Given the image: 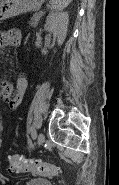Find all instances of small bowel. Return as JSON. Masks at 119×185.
Listing matches in <instances>:
<instances>
[{"instance_id": "1", "label": "small bowel", "mask_w": 119, "mask_h": 185, "mask_svg": "<svg viewBox=\"0 0 119 185\" xmlns=\"http://www.w3.org/2000/svg\"><path fill=\"white\" fill-rule=\"evenodd\" d=\"M20 42L21 32L18 29L6 30L0 34V47L2 50L18 46ZM27 85L28 79L24 74L19 76L14 86L6 80L1 81V98L7 103L9 108L15 109L20 104Z\"/></svg>"}]
</instances>
